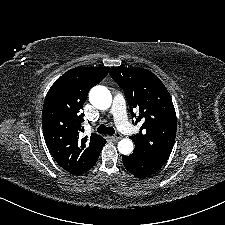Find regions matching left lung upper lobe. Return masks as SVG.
Returning a JSON list of instances; mask_svg holds the SVG:
<instances>
[{
	"label": "left lung upper lobe",
	"instance_id": "5c2ea615",
	"mask_svg": "<svg viewBox=\"0 0 225 225\" xmlns=\"http://www.w3.org/2000/svg\"><path fill=\"white\" fill-rule=\"evenodd\" d=\"M110 75L123 89L135 124L143 122L140 133L130 137L135 143L132 154L163 166L173 149L177 128L167 88L155 74L141 68L111 67Z\"/></svg>",
	"mask_w": 225,
	"mask_h": 225
}]
</instances>
